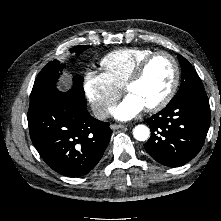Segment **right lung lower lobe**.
I'll list each match as a JSON object with an SVG mask.
<instances>
[{
	"label": "right lung lower lobe",
	"instance_id": "right-lung-lower-lobe-1",
	"mask_svg": "<svg viewBox=\"0 0 221 221\" xmlns=\"http://www.w3.org/2000/svg\"><path fill=\"white\" fill-rule=\"evenodd\" d=\"M31 140L56 172L79 177L98 163L108 146L109 123L93 118L85 97L73 91H52L30 101L27 115Z\"/></svg>",
	"mask_w": 221,
	"mask_h": 221
}]
</instances>
